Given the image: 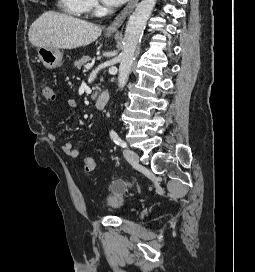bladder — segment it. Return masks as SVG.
Returning a JSON list of instances; mask_svg holds the SVG:
<instances>
[{
    "label": "bladder",
    "instance_id": "1",
    "mask_svg": "<svg viewBox=\"0 0 255 272\" xmlns=\"http://www.w3.org/2000/svg\"><path fill=\"white\" fill-rule=\"evenodd\" d=\"M126 197L123 190L109 191L105 194L103 199L104 206L112 211H117L125 206Z\"/></svg>",
    "mask_w": 255,
    "mask_h": 272
}]
</instances>
